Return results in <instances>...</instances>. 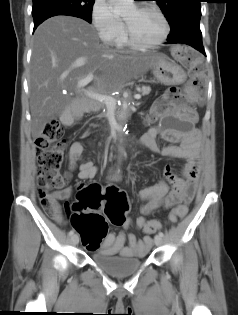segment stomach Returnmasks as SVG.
Instances as JSON below:
<instances>
[{
  "label": "stomach",
  "mask_w": 238,
  "mask_h": 315,
  "mask_svg": "<svg viewBox=\"0 0 238 315\" xmlns=\"http://www.w3.org/2000/svg\"><path fill=\"white\" fill-rule=\"evenodd\" d=\"M152 73L158 82L165 85L184 83L185 79H190V72H181L179 66L163 54L153 65ZM183 89L188 91L190 86L185 84ZM180 116H196V109H180Z\"/></svg>",
  "instance_id": "0dacf381"
}]
</instances>
